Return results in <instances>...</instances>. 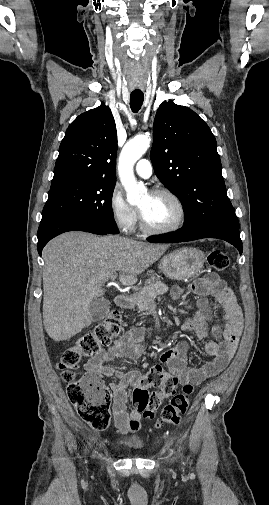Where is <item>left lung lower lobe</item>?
Here are the masks:
<instances>
[{
  "label": "left lung lower lobe",
  "instance_id": "obj_1",
  "mask_svg": "<svg viewBox=\"0 0 269 505\" xmlns=\"http://www.w3.org/2000/svg\"><path fill=\"white\" fill-rule=\"evenodd\" d=\"M202 238H218L225 240L232 245H234L240 254H242V241L240 239L239 227L230 224L217 225L202 231L197 232H185L183 230H178L176 233L171 235L155 237L149 239V242L154 243H172V242H182L191 241Z\"/></svg>",
  "mask_w": 269,
  "mask_h": 505
}]
</instances>
